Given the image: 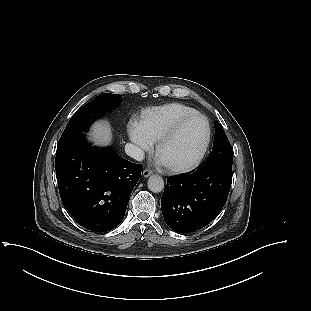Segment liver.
Instances as JSON below:
<instances>
[{
  "label": "liver",
  "mask_w": 311,
  "mask_h": 311,
  "mask_svg": "<svg viewBox=\"0 0 311 311\" xmlns=\"http://www.w3.org/2000/svg\"><path fill=\"white\" fill-rule=\"evenodd\" d=\"M91 136L96 144H107L111 142L112 132L107 122H97L92 127Z\"/></svg>",
  "instance_id": "1"
}]
</instances>
